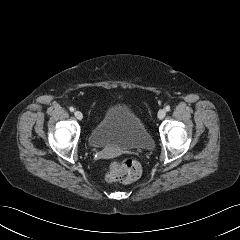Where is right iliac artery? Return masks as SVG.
Returning <instances> with one entry per match:
<instances>
[{"instance_id":"obj_1","label":"right iliac artery","mask_w":240,"mask_h":240,"mask_svg":"<svg viewBox=\"0 0 240 240\" xmlns=\"http://www.w3.org/2000/svg\"><path fill=\"white\" fill-rule=\"evenodd\" d=\"M69 110H70L71 112H74V108H73V107H70Z\"/></svg>"}]
</instances>
